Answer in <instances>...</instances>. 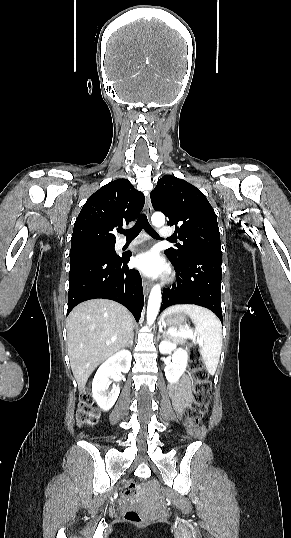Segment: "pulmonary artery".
I'll return each mask as SVG.
<instances>
[{"label":"pulmonary artery","mask_w":291,"mask_h":538,"mask_svg":"<svg viewBox=\"0 0 291 538\" xmlns=\"http://www.w3.org/2000/svg\"><path fill=\"white\" fill-rule=\"evenodd\" d=\"M171 235H172V230H171L170 228H168V227H163V228H161L160 231H159V236H160L161 239H167V238H169ZM139 243H140V241H137V240H136V241H133V242L131 243V245H137V244H139ZM122 245H125V242H123Z\"/></svg>","instance_id":"obj_1"}]
</instances>
